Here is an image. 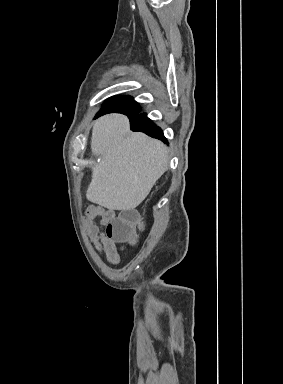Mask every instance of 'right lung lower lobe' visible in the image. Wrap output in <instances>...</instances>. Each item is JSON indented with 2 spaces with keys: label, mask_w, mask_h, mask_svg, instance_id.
<instances>
[{
  "label": "right lung lower lobe",
  "mask_w": 283,
  "mask_h": 384,
  "mask_svg": "<svg viewBox=\"0 0 283 384\" xmlns=\"http://www.w3.org/2000/svg\"><path fill=\"white\" fill-rule=\"evenodd\" d=\"M122 113L129 117L131 130L133 131H141L146 133L147 135L160 139L163 142L167 143L166 138L163 135L162 130L156 126L145 113L138 114L139 110L128 108V107H116L111 109H101L97 115L100 117L104 114L108 113Z\"/></svg>",
  "instance_id": "right-lung-lower-lobe-1"
}]
</instances>
